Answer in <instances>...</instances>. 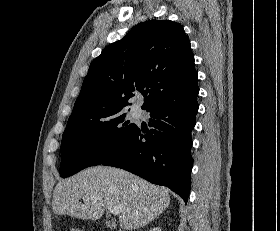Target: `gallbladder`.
<instances>
[{
	"mask_svg": "<svg viewBox=\"0 0 280 231\" xmlns=\"http://www.w3.org/2000/svg\"><path fill=\"white\" fill-rule=\"evenodd\" d=\"M104 223L107 227H110V229H114L117 225L116 221H113V219H111V221H107V219H105Z\"/></svg>",
	"mask_w": 280,
	"mask_h": 231,
	"instance_id": "bac80fb5",
	"label": "gallbladder"
}]
</instances>
